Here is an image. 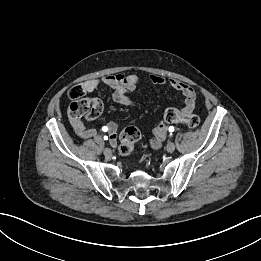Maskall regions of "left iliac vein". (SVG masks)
I'll return each mask as SVG.
<instances>
[{
  "mask_svg": "<svg viewBox=\"0 0 261 261\" xmlns=\"http://www.w3.org/2000/svg\"><path fill=\"white\" fill-rule=\"evenodd\" d=\"M166 150L169 153H172L175 150V144L173 142H168L166 145Z\"/></svg>",
  "mask_w": 261,
  "mask_h": 261,
  "instance_id": "left-iliac-vein-1",
  "label": "left iliac vein"
}]
</instances>
